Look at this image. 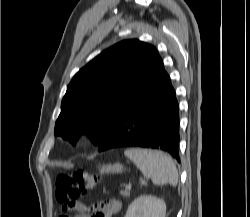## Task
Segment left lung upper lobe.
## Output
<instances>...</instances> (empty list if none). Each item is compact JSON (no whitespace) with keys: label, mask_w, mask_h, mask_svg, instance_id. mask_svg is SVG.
Segmentation results:
<instances>
[{"label":"left lung upper lobe","mask_w":250,"mask_h":217,"mask_svg":"<svg viewBox=\"0 0 250 217\" xmlns=\"http://www.w3.org/2000/svg\"><path fill=\"white\" fill-rule=\"evenodd\" d=\"M158 57L155 47L139 40H125L103 51L68 85L54 134L75 143L85 133L100 145Z\"/></svg>","instance_id":"obj_1"}]
</instances>
